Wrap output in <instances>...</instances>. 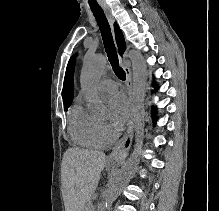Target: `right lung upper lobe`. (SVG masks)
<instances>
[{
	"mask_svg": "<svg viewBox=\"0 0 219 211\" xmlns=\"http://www.w3.org/2000/svg\"><path fill=\"white\" fill-rule=\"evenodd\" d=\"M114 28H115L116 42L119 48V52L122 54L126 46L125 40L121 30L119 29L116 23L114 24ZM73 66H74V62L73 59L71 58L68 62V66L66 69L63 92H62L64 106L70 105L73 99V77H72L73 69H74Z\"/></svg>",
	"mask_w": 219,
	"mask_h": 211,
	"instance_id": "right-lung-upper-lobe-1",
	"label": "right lung upper lobe"
}]
</instances>
